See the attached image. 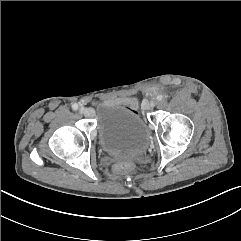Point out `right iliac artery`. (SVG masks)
<instances>
[{
    "mask_svg": "<svg viewBox=\"0 0 241 241\" xmlns=\"http://www.w3.org/2000/svg\"><path fill=\"white\" fill-rule=\"evenodd\" d=\"M72 109H73V110H77V109H78V105H77V104H73V105H72Z\"/></svg>",
    "mask_w": 241,
    "mask_h": 241,
    "instance_id": "82829eb1",
    "label": "right iliac artery"
}]
</instances>
